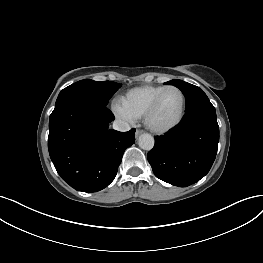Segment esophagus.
I'll return each mask as SVG.
<instances>
[{"label": "esophagus", "mask_w": 263, "mask_h": 263, "mask_svg": "<svg viewBox=\"0 0 263 263\" xmlns=\"http://www.w3.org/2000/svg\"><path fill=\"white\" fill-rule=\"evenodd\" d=\"M143 132H144V131H143V130H140V129L136 130V132H135L136 138H137L139 135H141Z\"/></svg>", "instance_id": "34e87169"}]
</instances>
